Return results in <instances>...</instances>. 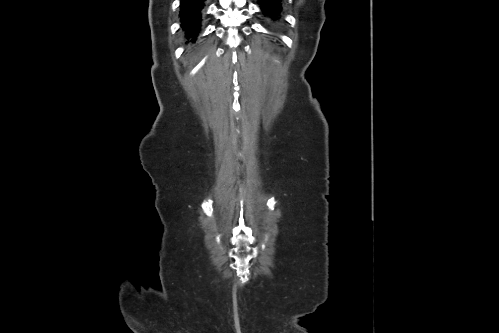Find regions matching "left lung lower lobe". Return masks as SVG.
I'll return each mask as SVG.
<instances>
[{
  "label": "left lung lower lobe",
  "instance_id": "obj_1",
  "mask_svg": "<svg viewBox=\"0 0 499 333\" xmlns=\"http://www.w3.org/2000/svg\"><path fill=\"white\" fill-rule=\"evenodd\" d=\"M265 15L277 18L279 13L280 0H259Z\"/></svg>",
  "mask_w": 499,
  "mask_h": 333
}]
</instances>
